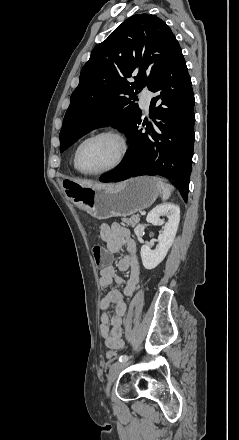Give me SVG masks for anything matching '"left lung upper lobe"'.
<instances>
[{
    "label": "left lung upper lobe",
    "mask_w": 239,
    "mask_h": 440,
    "mask_svg": "<svg viewBox=\"0 0 239 440\" xmlns=\"http://www.w3.org/2000/svg\"><path fill=\"white\" fill-rule=\"evenodd\" d=\"M177 43L160 18L137 14L97 44L71 95L59 134L60 152L94 128L113 125L126 133L136 124L141 116L133 104L136 94L154 82ZM132 74L135 82L128 81Z\"/></svg>",
    "instance_id": "1"
}]
</instances>
